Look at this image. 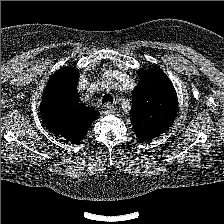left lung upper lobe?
Instances as JSON below:
<instances>
[{
	"label": "left lung upper lobe",
	"mask_w": 224,
	"mask_h": 224,
	"mask_svg": "<svg viewBox=\"0 0 224 224\" xmlns=\"http://www.w3.org/2000/svg\"><path fill=\"white\" fill-rule=\"evenodd\" d=\"M140 83L132 93V123L141 141L164 133L174 122L178 109L176 91L157 68L139 70Z\"/></svg>",
	"instance_id": "1"
}]
</instances>
